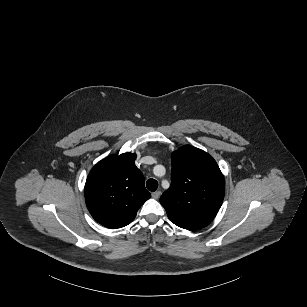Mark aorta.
<instances>
[{
	"label": "aorta",
	"instance_id": "obj_1",
	"mask_svg": "<svg viewBox=\"0 0 307 307\" xmlns=\"http://www.w3.org/2000/svg\"><path fill=\"white\" fill-rule=\"evenodd\" d=\"M157 171L162 173V172H165V167L160 165L158 168H157Z\"/></svg>",
	"mask_w": 307,
	"mask_h": 307
}]
</instances>
